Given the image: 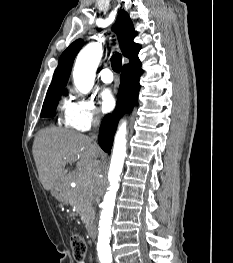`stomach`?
Masks as SVG:
<instances>
[{
	"label": "stomach",
	"mask_w": 233,
	"mask_h": 263,
	"mask_svg": "<svg viewBox=\"0 0 233 263\" xmlns=\"http://www.w3.org/2000/svg\"><path fill=\"white\" fill-rule=\"evenodd\" d=\"M66 178H60L53 189L51 190L52 195L58 199L59 201L66 202L67 200V186H66Z\"/></svg>",
	"instance_id": "obj_1"
}]
</instances>
